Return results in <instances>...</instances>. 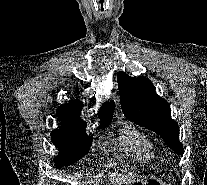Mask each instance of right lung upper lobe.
Masks as SVG:
<instances>
[{
    "mask_svg": "<svg viewBox=\"0 0 207 185\" xmlns=\"http://www.w3.org/2000/svg\"><path fill=\"white\" fill-rule=\"evenodd\" d=\"M114 108V102H106L103 105L98 113L101 120V127H106L110 124ZM81 109V103L77 100H72L68 105L59 107L56 116L61 119L62 125L85 128L86 124L79 118Z\"/></svg>",
    "mask_w": 207,
    "mask_h": 185,
    "instance_id": "cb5924a9",
    "label": "right lung upper lobe"
}]
</instances>
